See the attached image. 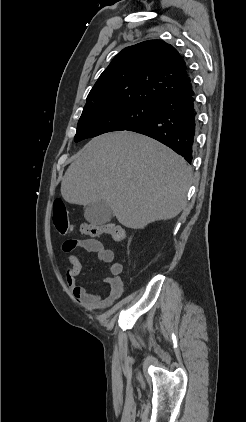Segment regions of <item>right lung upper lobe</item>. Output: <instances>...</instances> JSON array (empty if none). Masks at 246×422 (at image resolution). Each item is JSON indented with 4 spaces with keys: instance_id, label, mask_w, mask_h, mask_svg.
<instances>
[{
    "instance_id": "1",
    "label": "right lung upper lobe",
    "mask_w": 246,
    "mask_h": 422,
    "mask_svg": "<svg viewBox=\"0 0 246 422\" xmlns=\"http://www.w3.org/2000/svg\"><path fill=\"white\" fill-rule=\"evenodd\" d=\"M191 88L179 52L162 40H148L114 57L91 89L85 107L121 100L158 104Z\"/></svg>"
}]
</instances>
